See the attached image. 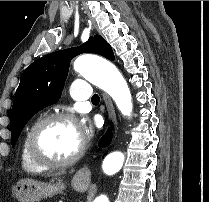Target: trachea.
I'll use <instances>...</instances> for the list:
<instances>
[{"label": "trachea", "mask_w": 209, "mask_h": 202, "mask_svg": "<svg viewBox=\"0 0 209 202\" xmlns=\"http://www.w3.org/2000/svg\"><path fill=\"white\" fill-rule=\"evenodd\" d=\"M92 103H99L100 102V98L97 94H94L92 96V99H91Z\"/></svg>", "instance_id": "obj_1"}]
</instances>
